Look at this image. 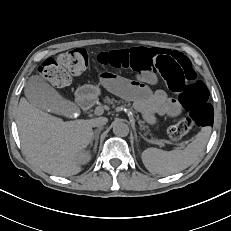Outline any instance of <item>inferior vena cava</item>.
<instances>
[{
    "label": "inferior vena cava",
    "instance_id": "1",
    "mask_svg": "<svg viewBox=\"0 0 231 231\" xmlns=\"http://www.w3.org/2000/svg\"><path fill=\"white\" fill-rule=\"evenodd\" d=\"M106 119L105 118H97L93 120V127H98V128H102L105 124H106Z\"/></svg>",
    "mask_w": 231,
    "mask_h": 231
}]
</instances>
